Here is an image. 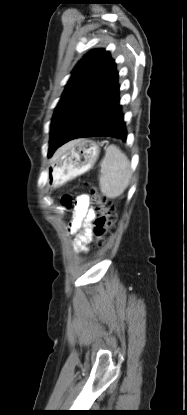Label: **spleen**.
<instances>
[{
    "instance_id": "obj_1",
    "label": "spleen",
    "mask_w": 187,
    "mask_h": 415,
    "mask_svg": "<svg viewBox=\"0 0 187 415\" xmlns=\"http://www.w3.org/2000/svg\"><path fill=\"white\" fill-rule=\"evenodd\" d=\"M99 186L103 195L114 199L123 194L131 178L130 162L115 145H110L100 163Z\"/></svg>"
}]
</instances>
